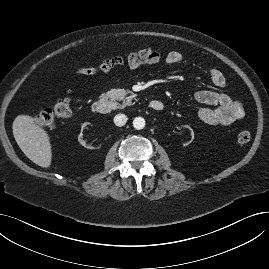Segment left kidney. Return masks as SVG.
Returning a JSON list of instances; mask_svg holds the SVG:
<instances>
[{
    "mask_svg": "<svg viewBox=\"0 0 269 269\" xmlns=\"http://www.w3.org/2000/svg\"><path fill=\"white\" fill-rule=\"evenodd\" d=\"M183 129H184L183 132H186V130L188 131V136L190 137V140L184 143V146H185V145L190 144L193 141V139H194V132H193V130L188 125H184L183 126Z\"/></svg>",
    "mask_w": 269,
    "mask_h": 269,
    "instance_id": "left-kidney-1",
    "label": "left kidney"
}]
</instances>
